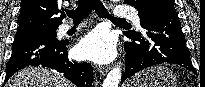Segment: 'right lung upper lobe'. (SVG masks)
<instances>
[{
	"instance_id": "obj_1",
	"label": "right lung upper lobe",
	"mask_w": 205,
	"mask_h": 87,
	"mask_svg": "<svg viewBox=\"0 0 205 87\" xmlns=\"http://www.w3.org/2000/svg\"><path fill=\"white\" fill-rule=\"evenodd\" d=\"M61 4L62 0H22L16 35L57 29L65 17Z\"/></svg>"
}]
</instances>
